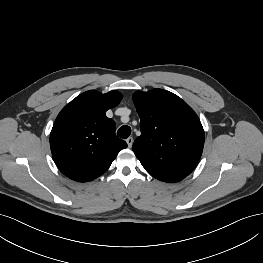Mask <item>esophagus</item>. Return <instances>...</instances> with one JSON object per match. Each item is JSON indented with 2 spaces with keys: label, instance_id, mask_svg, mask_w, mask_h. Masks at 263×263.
I'll use <instances>...</instances> for the list:
<instances>
[{
  "label": "esophagus",
  "instance_id": "obj_1",
  "mask_svg": "<svg viewBox=\"0 0 263 263\" xmlns=\"http://www.w3.org/2000/svg\"><path fill=\"white\" fill-rule=\"evenodd\" d=\"M126 142H127L128 147L131 148V147H132V144H133V142H134L133 137L127 138V139H126Z\"/></svg>",
  "mask_w": 263,
  "mask_h": 263
}]
</instances>
